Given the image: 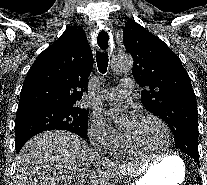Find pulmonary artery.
Here are the masks:
<instances>
[{"instance_id": "pulmonary-artery-1", "label": "pulmonary artery", "mask_w": 207, "mask_h": 185, "mask_svg": "<svg viewBox=\"0 0 207 185\" xmlns=\"http://www.w3.org/2000/svg\"><path fill=\"white\" fill-rule=\"evenodd\" d=\"M135 82L134 81H120V86L122 90H119V87L109 88L102 91V98L106 100H120L125 98L130 91L135 90Z\"/></svg>"}]
</instances>
